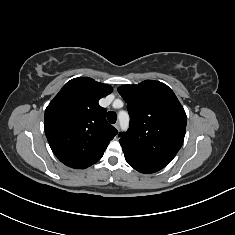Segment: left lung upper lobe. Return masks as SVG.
<instances>
[{
    "label": "left lung upper lobe",
    "instance_id": "5c2ea615",
    "mask_svg": "<svg viewBox=\"0 0 235 235\" xmlns=\"http://www.w3.org/2000/svg\"><path fill=\"white\" fill-rule=\"evenodd\" d=\"M130 128L120 133L124 154L165 167L181 148L187 117L174 92L164 83L145 80L123 85Z\"/></svg>",
    "mask_w": 235,
    "mask_h": 235
}]
</instances>
